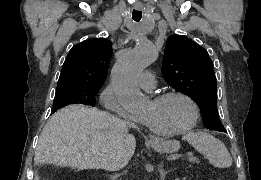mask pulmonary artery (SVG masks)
I'll list each match as a JSON object with an SVG mask.
<instances>
[{"label":"pulmonary artery","instance_id":"pulmonary-artery-1","mask_svg":"<svg viewBox=\"0 0 261 180\" xmlns=\"http://www.w3.org/2000/svg\"><path fill=\"white\" fill-rule=\"evenodd\" d=\"M156 76L149 70H145L139 76L140 88H155Z\"/></svg>","mask_w":261,"mask_h":180}]
</instances>
